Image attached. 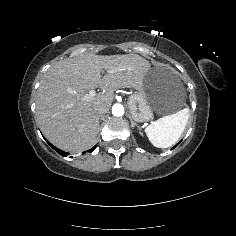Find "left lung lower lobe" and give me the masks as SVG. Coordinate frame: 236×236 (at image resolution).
<instances>
[{
    "mask_svg": "<svg viewBox=\"0 0 236 236\" xmlns=\"http://www.w3.org/2000/svg\"><path fill=\"white\" fill-rule=\"evenodd\" d=\"M179 143H180V142H179ZM179 143H178V144H179ZM178 144H176L173 148H175Z\"/></svg>",
    "mask_w": 236,
    "mask_h": 236,
    "instance_id": "obj_1",
    "label": "left lung lower lobe"
}]
</instances>
